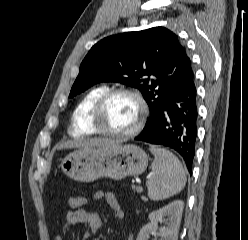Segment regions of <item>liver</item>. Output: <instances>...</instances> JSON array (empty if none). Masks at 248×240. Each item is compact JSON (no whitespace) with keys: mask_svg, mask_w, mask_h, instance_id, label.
<instances>
[{"mask_svg":"<svg viewBox=\"0 0 248 240\" xmlns=\"http://www.w3.org/2000/svg\"><path fill=\"white\" fill-rule=\"evenodd\" d=\"M115 141L101 138H93L80 141H69L62 144L59 148H80L83 150H93L97 148H104L115 145Z\"/></svg>","mask_w":248,"mask_h":240,"instance_id":"1","label":"liver"}]
</instances>
